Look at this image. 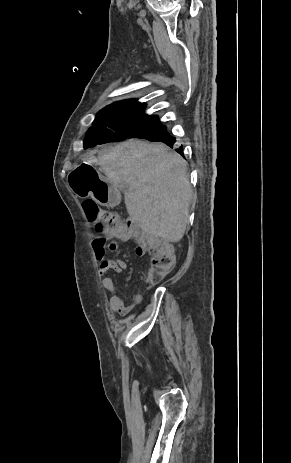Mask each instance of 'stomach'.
I'll return each mask as SVG.
<instances>
[{"instance_id":"1","label":"stomach","mask_w":291,"mask_h":463,"mask_svg":"<svg viewBox=\"0 0 291 463\" xmlns=\"http://www.w3.org/2000/svg\"><path fill=\"white\" fill-rule=\"evenodd\" d=\"M69 184L79 197L91 196L103 206H114L119 201L118 189L88 165H82L70 173Z\"/></svg>"}]
</instances>
